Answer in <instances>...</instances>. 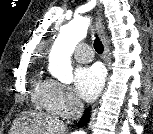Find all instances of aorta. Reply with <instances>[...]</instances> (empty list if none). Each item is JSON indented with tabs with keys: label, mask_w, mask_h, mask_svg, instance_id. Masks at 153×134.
Returning <instances> with one entry per match:
<instances>
[{
	"label": "aorta",
	"mask_w": 153,
	"mask_h": 134,
	"mask_svg": "<svg viewBox=\"0 0 153 134\" xmlns=\"http://www.w3.org/2000/svg\"><path fill=\"white\" fill-rule=\"evenodd\" d=\"M89 20L87 17H75L60 29V34L55 40L49 56L50 73L60 82L70 84L73 81V72L70 56L76 45L88 31ZM79 134H86L79 131Z\"/></svg>",
	"instance_id": "762f6f07"
}]
</instances>
